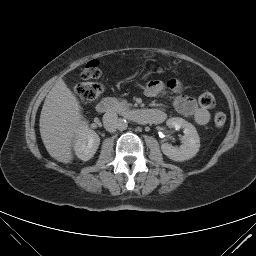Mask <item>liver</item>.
<instances>
[{
	"instance_id": "1",
	"label": "liver",
	"mask_w": 256,
	"mask_h": 256,
	"mask_svg": "<svg viewBox=\"0 0 256 256\" xmlns=\"http://www.w3.org/2000/svg\"><path fill=\"white\" fill-rule=\"evenodd\" d=\"M82 107L62 79L49 91L40 115V135L51 157L73 160L72 143L83 124Z\"/></svg>"
}]
</instances>
